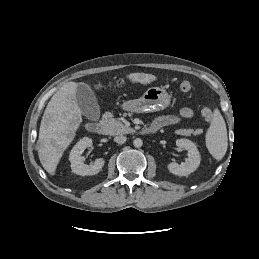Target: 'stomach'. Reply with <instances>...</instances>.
Wrapping results in <instances>:
<instances>
[{
    "instance_id": "stomach-1",
    "label": "stomach",
    "mask_w": 259,
    "mask_h": 259,
    "mask_svg": "<svg viewBox=\"0 0 259 259\" xmlns=\"http://www.w3.org/2000/svg\"><path fill=\"white\" fill-rule=\"evenodd\" d=\"M171 103V95L160 87H151L138 99L126 100L121 108L134 113L157 112L166 109Z\"/></svg>"
}]
</instances>
